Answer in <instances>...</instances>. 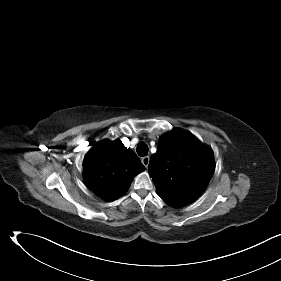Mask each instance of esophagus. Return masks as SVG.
I'll use <instances>...</instances> for the list:
<instances>
[{
    "mask_svg": "<svg viewBox=\"0 0 281 281\" xmlns=\"http://www.w3.org/2000/svg\"><path fill=\"white\" fill-rule=\"evenodd\" d=\"M149 161H150V157L149 156H145L141 159L142 164L147 168L149 165Z\"/></svg>",
    "mask_w": 281,
    "mask_h": 281,
    "instance_id": "1",
    "label": "esophagus"
}]
</instances>
